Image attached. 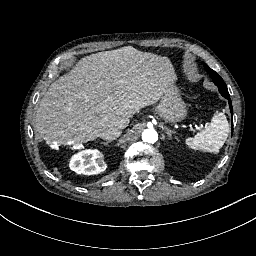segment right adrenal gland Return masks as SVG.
I'll list each match as a JSON object with an SVG mask.
<instances>
[{
    "instance_id": "right-adrenal-gland-1",
    "label": "right adrenal gland",
    "mask_w": 256,
    "mask_h": 256,
    "mask_svg": "<svg viewBox=\"0 0 256 256\" xmlns=\"http://www.w3.org/2000/svg\"><path fill=\"white\" fill-rule=\"evenodd\" d=\"M110 142H111V140H108L106 142H100V143L103 144V145H108Z\"/></svg>"
}]
</instances>
